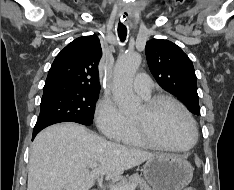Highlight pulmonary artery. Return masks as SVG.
Returning a JSON list of instances; mask_svg holds the SVG:
<instances>
[{
  "mask_svg": "<svg viewBox=\"0 0 234 190\" xmlns=\"http://www.w3.org/2000/svg\"><path fill=\"white\" fill-rule=\"evenodd\" d=\"M133 87L139 95L146 98L152 92V81L146 74L140 73L136 76Z\"/></svg>",
  "mask_w": 234,
  "mask_h": 190,
  "instance_id": "obj_1",
  "label": "pulmonary artery"
}]
</instances>
